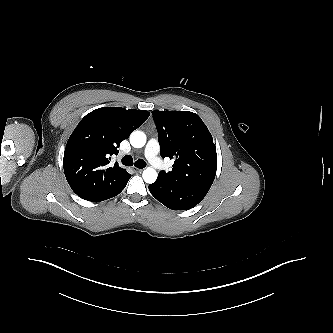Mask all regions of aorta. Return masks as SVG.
<instances>
[{
	"mask_svg": "<svg viewBox=\"0 0 333 333\" xmlns=\"http://www.w3.org/2000/svg\"><path fill=\"white\" fill-rule=\"evenodd\" d=\"M130 143L134 148H141L146 143V135L142 131L135 130L130 135ZM143 180L146 183H153L157 179V172L153 168H147L143 171L142 174Z\"/></svg>",
	"mask_w": 333,
	"mask_h": 333,
	"instance_id": "obj_1",
	"label": "aorta"
}]
</instances>
